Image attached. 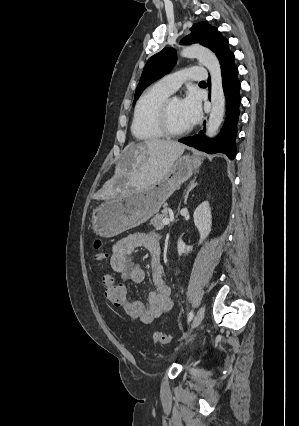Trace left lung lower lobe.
<instances>
[{
	"label": "left lung lower lobe",
	"mask_w": 299,
	"mask_h": 426,
	"mask_svg": "<svg viewBox=\"0 0 299 426\" xmlns=\"http://www.w3.org/2000/svg\"><path fill=\"white\" fill-rule=\"evenodd\" d=\"M221 64L223 89L226 95L227 112L226 120L221 133L214 140L209 141L203 132L185 137L179 140L188 146L209 154L223 153L233 160L236 155L235 137L237 134V121L239 118V95L240 82L238 80V69L234 62V55L229 50H224L218 57ZM210 87V79L208 80Z\"/></svg>",
	"instance_id": "1"
}]
</instances>
